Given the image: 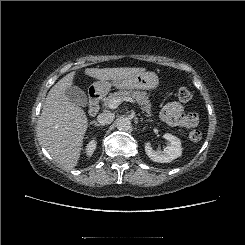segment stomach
I'll list each match as a JSON object with an SVG mask.
<instances>
[{
	"mask_svg": "<svg viewBox=\"0 0 245 245\" xmlns=\"http://www.w3.org/2000/svg\"><path fill=\"white\" fill-rule=\"evenodd\" d=\"M159 85V78L154 72H143L128 78L117 80H98L93 83L99 93H106L112 86L118 89H143L154 90Z\"/></svg>",
	"mask_w": 245,
	"mask_h": 245,
	"instance_id": "obj_1",
	"label": "stomach"
}]
</instances>
